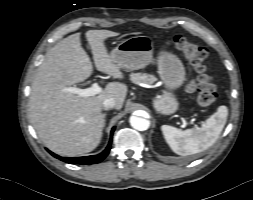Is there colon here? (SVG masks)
Returning a JSON list of instances; mask_svg holds the SVG:
<instances>
[{
	"label": "colon",
	"mask_w": 253,
	"mask_h": 200,
	"mask_svg": "<svg viewBox=\"0 0 253 200\" xmlns=\"http://www.w3.org/2000/svg\"><path fill=\"white\" fill-rule=\"evenodd\" d=\"M168 43L178 49L196 69L199 74L197 102L203 109H208L216 100L217 93L212 76L207 74L209 63L206 49L179 35L172 37Z\"/></svg>",
	"instance_id": "1"
}]
</instances>
